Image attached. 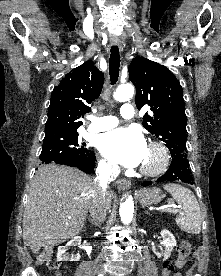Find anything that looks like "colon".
Listing matches in <instances>:
<instances>
[{
  "instance_id": "5ec220e1",
  "label": "colon",
  "mask_w": 221,
  "mask_h": 276,
  "mask_svg": "<svg viewBox=\"0 0 221 276\" xmlns=\"http://www.w3.org/2000/svg\"><path fill=\"white\" fill-rule=\"evenodd\" d=\"M178 258L176 261H165L161 276H173L175 268H182L192 251V245L184 240L178 246ZM39 261L45 263L47 267L54 271H59L60 262L52 257L51 251L46 249L39 255Z\"/></svg>"
}]
</instances>
